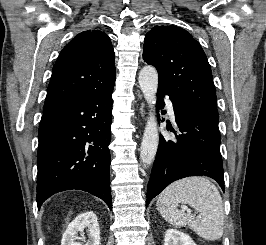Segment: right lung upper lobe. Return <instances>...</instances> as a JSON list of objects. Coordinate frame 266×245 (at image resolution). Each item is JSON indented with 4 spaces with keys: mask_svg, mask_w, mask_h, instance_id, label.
<instances>
[{
    "mask_svg": "<svg viewBox=\"0 0 266 245\" xmlns=\"http://www.w3.org/2000/svg\"><path fill=\"white\" fill-rule=\"evenodd\" d=\"M115 76L110 38L100 30L79 33L54 64L43 113L85 93L112 89Z\"/></svg>",
    "mask_w": 266,
    "mask_h": 245,
    "instance_id": "1",
    "label": "right lung upper lobe"
}]
</instances>
